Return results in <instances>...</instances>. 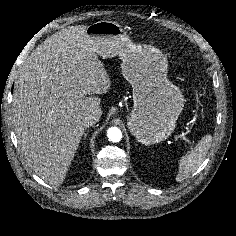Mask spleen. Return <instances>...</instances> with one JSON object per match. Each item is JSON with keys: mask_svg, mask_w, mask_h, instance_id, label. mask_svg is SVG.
I'll use <instances>...</instances> for the list:
<instances>
[{"mask_svg": "<svg viewBox=\"0 0 236 236\" xmlns=\"http://www.w3.org/2000/svg\"><path fill=\"white\" fill-rule=\"evenodd\" d=\"M212 136L206 135L189 154L180 159L179 171L176 181L181 182L193 174L203 163L204 158L211 146Z\"/></svg>", "mask_w": 236, "mask_h": 236, "instance_id": "1", "label": "spleen"}]
</instances>
